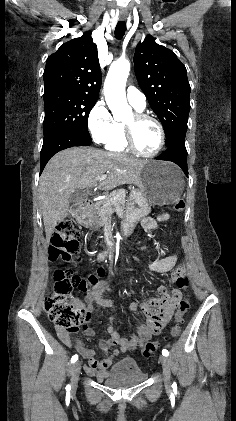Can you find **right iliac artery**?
Masks as SVG:
<instances>
[{"mask_svg": "<svg viewBox=\"0 0 236 421\" xmlns=\"http://www.w3.org/2000/svg\"><path fill=\"white\" fill-rule=\"evenodd\" d=\"M78 360V355L76 354V355H74L72 358H71V363H74V362H76ZM70 389H71V386L70 385H67L66 386V390L69 392L70 391Z\"/></svg>", "mask_w": 236, "mask_h": 421, "instance_id": "obj_1", "label": "right iliac artery"}]
</instances>
